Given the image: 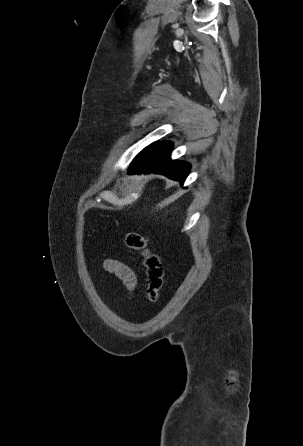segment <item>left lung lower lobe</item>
I'll return each instance as SVG.
<instances>
[{
	"instance_id": "left-lung-lower-lobe-1",
	"label": "left lung lower lobe",
	"mask_w": 303,
	"mask_h": 446,
	"mask_svg": "<svg viewBox=\"0 0 303 446\" xmlns=\"http://www.w3.org/2000/svg\"><path fill=\"white\" fill-rule=\"evenodd\" d=\"M172 148L173 144L168 141L154 144L135 157L129 167V174L153 172L183 183L190 171V165L184 161L171 160Z\"/></svg>"
}]
</instances>
